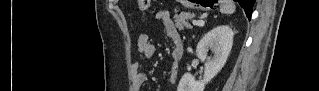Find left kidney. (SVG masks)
<instances>
[{"instance_id": "5707ae66", "label": "left kidney", "mask_w": 319, "mask_h": 91, "mask_svg": "<svg viewBox=\"0 0 319 91\" xmlns=\"http://www.w3.org/2000/svg\"><path fill=\"white\" fill-rule=\"evenodd\" d=\"M233 30L227 25L213 28L206 33L196 47L197 57L204 62L202 80L196 81L190 73H185L178 85V91H204L205 85L220 72L225 65L233 45ZM209 50L213 56H208Z\"/></svg>"}]
</instances>
